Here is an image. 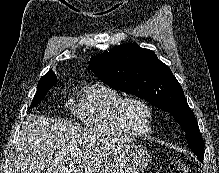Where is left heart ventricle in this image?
I'll return each mask as SVG.
<instances>
[{
    "label": "left heart ventricle",
    "instance_id": "1",
    "mask_svg": "<svg viewBox=\"0 0 219 173\" xmlns=\"http://www.w3.org/2000/svg\"><path fill=\"white\" fill-rule=\"evenodd\" d=\"M127 117L136 128L142 131L146 130L148 113L142 105L138 103L129 104L127 106Z\"/></svg>",
    "mask_w": 219,
    "mask_h": 173
}]
</instances>
